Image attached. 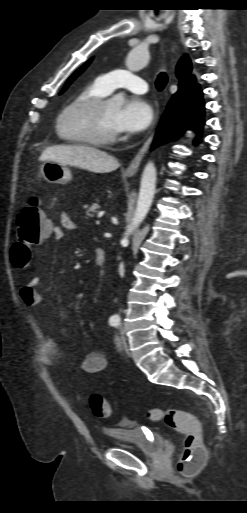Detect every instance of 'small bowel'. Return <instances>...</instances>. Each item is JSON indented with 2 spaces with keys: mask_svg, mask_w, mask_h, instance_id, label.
I'll list each match as a JSON object with an SVG mask.
<instances>
[{
  "mask_svg": "<svg viewBox=\"0 0 247 513\" xmlns=\"http://www.w3.org/2000/svg\"><path fill=\"white\" fill-rule=\"evenodd\" d=\"M77 225L72 218L63 213L60 216V225L51 227L50 233L47 238H53L55 241L63 240L65 230L76 229ZM41 285L40 277H31L24 286L19 290V298L21 302L28 307H34L44 302V297L40 293L39 288ZM62 360V352L59 350L57 344L52 337L47 336L44 342V349L41 355L43 364L51 367L60 366ZM108 365L106 355L98 350L90 351L84 355L80 361V369L85 373H98L103 371Z\"/></svg>",
  "mask_w": 247,
  "mask_h": 513,
  "instance_id": "1",
  "label": "small bowel"
}]
</instances>
